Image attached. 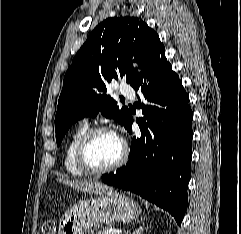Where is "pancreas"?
Wrapping results in <instances>:
<instances>
[{
	"label": "pancreas",
	"instance_id": "1",
	"mask_svg": "<svg viewBox=\"0 0 241 234\" xmlns=\"http://www.w3.org/2000/svg\"><path fill=\"white\" fill-rule=\"evenodd\" d=\"M108 230L109 228H102L97 234H105Z\"/></svg>",
	"mask_w": 241,
	"mask_h": 234
}]
</instances>
